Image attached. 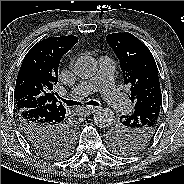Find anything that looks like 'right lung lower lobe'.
I'll return each instance as SVG.
<instances>
[{"instance_id": "obj_1", "label": "right lung lower lobe", "mask_w": 184, "mask_h": 184, "mask_svg": "<svg viewBox=\"0 0 184 184\" xmlns=\"http://www.w3.org/2000/svg\"><path fill=\"white\" fill-rule=\"evenodd\" d=\"M66 110L40 108L18 112L19 123L27 141L37 151L59 147L66 131L73 128L65 118Z\"/></svg>"}]
</instances>
